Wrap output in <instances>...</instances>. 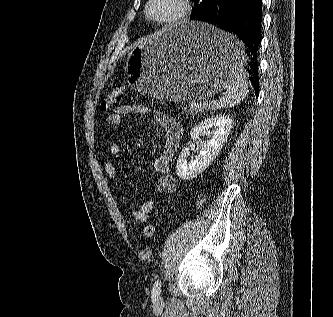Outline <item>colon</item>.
<instances>
[{
    "label": "colon",
    "mask_w": 333,
    "mask_h": 317,
    "mask_svg": "<svg viewBox=\"0 0 333 317\" xmlns=\"http://www.w3.org/2000/svg\"><path fill=\"white\" fill-rule=\"evenodd\" d=\"M126 92L123 88H118L112 90L102 101L101 103V110L106 111L112 104H114L118 98ZM155 227L152 224H146L144 226V234L149 237L153 238L155 236Z\"/></svg>",
    "instance_id": "obj_1"
}]
</instances>
